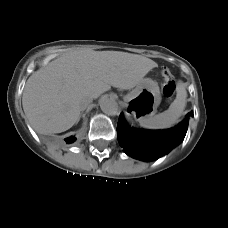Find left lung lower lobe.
<instances>
[{
  "mask_svg": "<svg viewBox=\"0 0 228 228\" xmlns=\"http://www.w3.org/2000/svg\"><path fill=\"white\" fill-rule=\"evenodd\" d=\"M192 116V112H189L177 126L170 129L144 130L130 127L120 114L117 125L119 144L133 158L145 161L158 159L183 141Z\"/></svg>",
  "mask_w": 228,
  "mask_h": 228,
  "instance_id": "obj_1",
  "label": "left lung lower lobe"
}]
</instances>
